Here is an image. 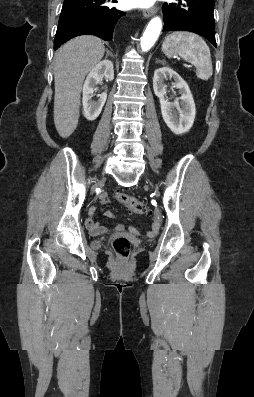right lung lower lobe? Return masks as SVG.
Instances as JSON below:
<instances>
[{"instance_id": "obj_1", "label": "right lung lower lobe", "mask_w": 254, "mask_h": 397, "mask_svg": "<svg viewBox=\"0 0 254 397\" xmlns=\"http://www.w3.org/2000/svg\"><path fill=\"white\" fill-rule=\"evenodd\" d=\"M116 0H64L61 10L54 50L69 39L91 34L103 40H112L113 32L125 12L104 5Z\"/></svg>"}]
</instances>
